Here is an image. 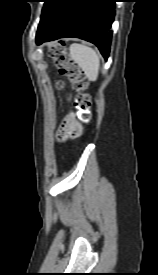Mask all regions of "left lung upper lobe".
Wrapping results in <instances>:
<instances>
[{"label":"left lung upper lobe","instance_id":"obj_1","mask_svg":"<svg viewBox=\"0 0 158 275\" xmlns=\"http://www.w3.org/2000/svg\"><path fill=\"white\" fill-rule=\"evenodd\" d=\"M47 2H48V0H46V1H45V4H44V6H45V5L47 4ZM43 8H44V7H43Z\"/></svg>","mask_w":158,"mask_h":275}]
</instances>
